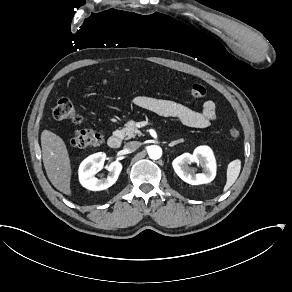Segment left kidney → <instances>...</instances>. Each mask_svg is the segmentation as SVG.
<instances>
[{
  "instance_id": "left-kidney-1",
  "label": "left kidney",
  "mask_w": 292,
  "mask_h": 292,
  "mask_svg": "<svg viewBox=\"0 0 292 292\" xmlns=\"http://www.w3.org/2000/svg\"><path fill=\"white\" fill-rule=\"evenodd\" d=\"M193 163L201 167L203 172L195 174L194 170L189 167ZM172 166L176 174L190 185L208 184L214 180L216 175L212 151L205 146L197 148L193 154L185 153L177 157L172 162Z\"/></svg>"
}]
</instances>
